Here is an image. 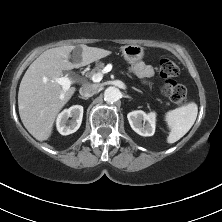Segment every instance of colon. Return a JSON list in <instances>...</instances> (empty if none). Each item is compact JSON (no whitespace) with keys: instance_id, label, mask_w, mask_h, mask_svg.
Instances as JSON below:
<instances>
[{"instance_id":"obj_1","label":"colon","mask_w":222,"mask_h":222,"mask_svg":"<svg viewBox=\"0 0 222 222\" xmlns=\"http://www.w3.org/2000/svg\"><path fill=\"white\" fill-rule=\"evenodd\" d=\"M159 72L164 79L163 94L176 104H185L187 101L186 88L175 80L179 74L178 65L171 58L163 57L159 61Z\"/></svg>"}]
</instances>
